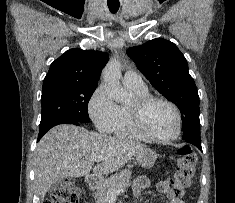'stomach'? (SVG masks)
Listing matches in <instances>:
<instances>
[{
    "mask_svg": "<svg viewBox=\"0 0 235 203\" xmlns=\"http://www.w3.org/2000/svg\"><path fill=\"white\" fill-rule=\"evenodd\" d=\"M136 160L138 164L144 168H152L157 160V154L154 150L145 148L136 153ZM104 182L99 179V183Z\"/></svg>",
    "mask_w": 235,
    "mask_h": 203,
    "instance_id": "obj_1",
    "label": "stomach"
}]
</instances>
